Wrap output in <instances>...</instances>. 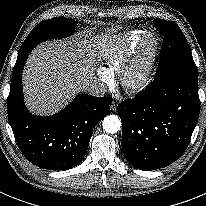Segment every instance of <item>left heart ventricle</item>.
I'll return each instance as SVG.
<instances>
[{"label":"left heart ventricle","instance_id":"b2bd125f","mask_svg":"<svg viewBox=\"0 0 206 206\" xmlns=\"http://www.w3.org/2000/svg\"><path fill=\"white\" fill-rule=\"evenodd\" d=\"M142 69H143V65H140V66L137 68L136 73L141 72V71H142Z\"/></svg>","mask_w":206,"mask_h":206}]
</instances>
